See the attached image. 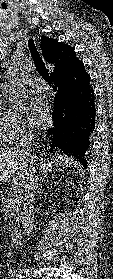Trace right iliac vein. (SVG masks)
Wrapping results in <instances>:
<instances>
[{
    "instance_id": "right-iliac-vein-1",
    "label": "right iliac vein",
    "mask_w": 113,
    "mask_h": 279,
    "mask_svg": "<svg viewBox=\"0 0 113 279\" xmlns=\"http://www.w3.org/2000/svg\"><path fill=\"white\" fill-rule=\"evenodd\" d=\"M25 271H27V272H28V271H29V268H25Z\"/></svg>"
}]
</instances>
